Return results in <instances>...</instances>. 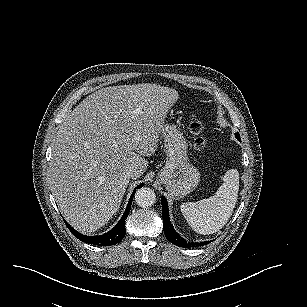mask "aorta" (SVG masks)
<instances>
[{
  "instance_id": "1",
  "label": "aorta",
  "mask_w": 307,
  "mask_h": 307,
  "mask_svg": "<svg viewBox=\"0 0 307 307\" xmlns=\"http://www.w3.org/2000/svg\"><path fill=\"white\" fill-rule=\"evenodd\" d=\"M134 198L138 206L147 208L155 202V193L149 187H142L136 190Z\"/></svg>"
}]
</instances>
